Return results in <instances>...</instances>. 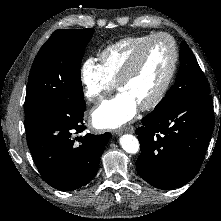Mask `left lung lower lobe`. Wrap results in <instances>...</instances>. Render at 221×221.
<instances>
[{
  "mask_svg": "<svg viewBox=\"0 0 221 221\" xmlns=\"http://www.w3.org/2000/svg\"><path fill=\"white\" fill-rule=\"evenodd\" d=\"M213 128L210 94L155 107L135 131L141 147L137 173L159 189L185 185L199 172Z\"/></svg>",
  "mask_w": 221,
  "mask_h": 221,
  "instance_id": "0a47b994",
  "label": "left lung lower lobe"
}]
</instances>
